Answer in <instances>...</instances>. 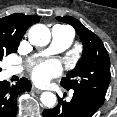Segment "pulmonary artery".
<instances>
[{
	"mask_svg": "<svg viewBox=\"0 0 117 117\" xmlns=\"http://www.w3.org/2000/svg\"><path fill=\"white\" fill-rule=\"evenodd\" d=\"M73 40V31L70 28L56 25L52 29L51 46L43 52V54H51L65 50L70 46ZM20 71L17 67H10L8 73L16 74Z\"/></svg>",
	"mask_w": 117,
	"mask_h": 117,
	"instance_id": "1",
	"label": "pulmonary artery"
}]
</instances>
